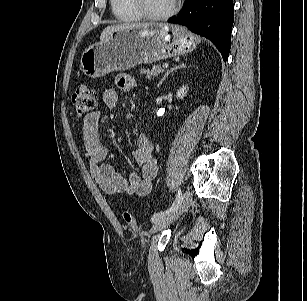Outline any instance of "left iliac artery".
Here are the masks:
<instances>
[{"label": "left iliac artery", "instance_id": "1", "mask_svg": "<svg viewBox=\"0 0 307 301\" xmlns=\"http://www.w3.org/2000/svg\"><path fill=\"white\" fill-rule=\"evenodd\" d=\"M181 197H182V193H181V190L179 189L178 192H177L176 200L173 203V205L169 209H167L166 211L155 213L151 217V221L155 222V221L159 220L160 218H162L166 213L170 212L179 203Z\"/></svg>", "mask_w": 307, "mask_h": 301}]
</instances>
